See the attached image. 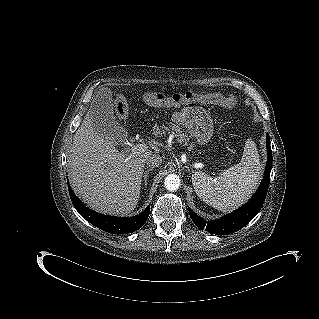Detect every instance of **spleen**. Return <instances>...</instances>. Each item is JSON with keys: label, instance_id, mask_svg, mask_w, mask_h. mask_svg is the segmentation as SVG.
I'll return each mask as SVG.
<instances>
[{"label": "spleen", "instance_id": "3e777b00", "mask_svg": "<svg viewBox=\"0 0 319 319\" xmlns=\"http://www.w3.org/2000/svg\"><path fill=\"white\" fill-rule=\"evenodd\" d=\"M261 176L259 154L254 141L247 139L240 163L212 178L202 171L192 174L198 197L208 205L232 211L243 204L255 190Z\"/></svg>", "mask_w": 319, "mask_h": 319}]
</instances>
